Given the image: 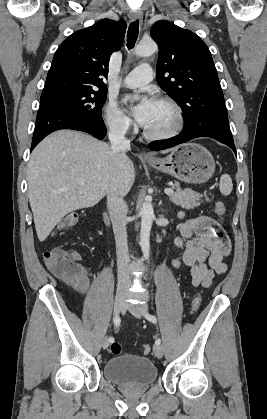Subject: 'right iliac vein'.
Listing matches in <instances>:
<instances>
[{
    "label": "right iliac vein",
    "instance_id": "1",
    "mask_svg": "<svg viewBox=\"0 0 267 419\" xmlns=\"http://www.w3.org/2000/svg\"><path fill=\"white\" fill-rule=\"evenodd\" d=\"M124 298H125L124 292H119L116 295L115 302H114V309H113L115 316H117L122 310L124 306ZM108 346H109V338L105 337L102 341V347L106 349Z\"/></svg>",
    "mask_w": 267,
    "mask_h": 419
}]
</instances>
